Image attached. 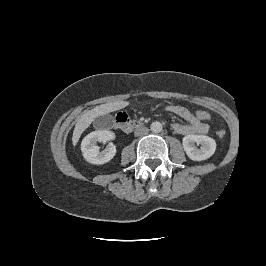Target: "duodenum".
Returning a JSON list of instances; mask_svg holds the SVG:
<instances>
[{
  "mask_svg": "<svg viewBox=\"0 0 266 266\" xmlns=\"http://www.w3.org/2000/svg\"><path fill=\"white\" fill-rule=\"evenodd\" d=\"M115 126L123 132H130L133 128L139 126V124L133 122L127 115L120 113L115 117Z\"/></svg>",
  "mask_w": 266,
  "mask_h": 266,
  "instance_id": "obj_1",
  "label": "duodenum"
}]
</instances>
